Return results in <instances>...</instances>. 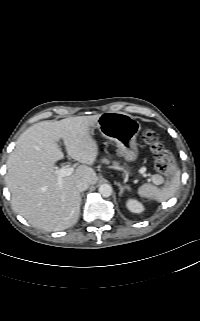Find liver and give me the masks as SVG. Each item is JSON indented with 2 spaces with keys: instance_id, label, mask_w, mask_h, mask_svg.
Segmentation results:
<instances>
[{
  "instance_id": "liver-1",
  "label": "liver",
  "mask_w": 200,
  "mask_h": 321,
  "mask_svg": "<svg viewBox=\"0 0 200 321\" xmlns=\"http://www.w3.org/2000/svg\"><path fill=\"white\" fill-rule=\"evenodd\" d=\"M100 115L79 116L60 121H41L24 131L7 161L6 184L13 209L32 226L59 231L74 225L79 217V179L97 183L90 167L99 147L92 136ZM62 139L69 157L82 163L58 185L55 163L64 157L58 142Z\"/></svg>"
}]
</instances>
